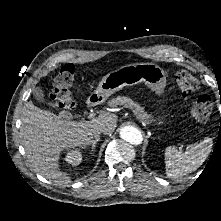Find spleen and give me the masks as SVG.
Instances as JSON below:
<instances>
[{
  "mask_svg": "<svg viewBox=\"0 0 221 221\" xmlns=\"http://www.w3.org/2000/svg\"><path fill=\"white\" fill-rule=\"evenodd\" d=\"M213 147L211 138L187 146L184 152L175 147L165 149V171L169 178L177 179L199 168L209 156Z\"/></svg>",
  "mask_w": 221,
  "mask_h": 221,
  "instance_id": "3e777b00",
  "label": "spleen"
}]
</instances>
